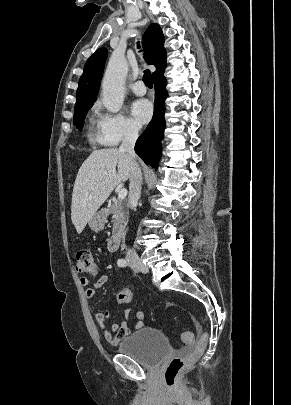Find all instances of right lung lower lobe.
<instances>
[{
	"mask_svg": "<svg viewBox=\"0 0 291 405\" xmlns=\"http://www.w3.org/2000/svg\"><path fill=\"white\" fill-rule=\"evenodd\" d=\"M155 84L154 114L144 133L138 138L135 152L147 165L157 168L161 156V140L165 130L164 100L166 98V78L159 75L153 79Z\"/></svg>",
	"mask_w": 291,
	"mask_h": 405,
	"instance_id": "98d812e1",
	"label": "right lung lower lobe"
}]
</instances>
